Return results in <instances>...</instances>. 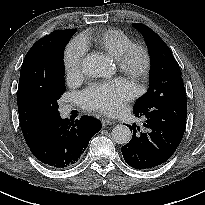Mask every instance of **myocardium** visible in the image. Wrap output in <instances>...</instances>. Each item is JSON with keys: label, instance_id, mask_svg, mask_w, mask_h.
Returning <instances> with one entry per match:
<instances>
[{"label": "myocardium", "instance_id": "1", "mask_svg": "<svg viewBox=\"0 0 205 205\" xmlns=\"http://www.w3.org/2000/svg\"><path fill=\"white\" fill-rule=\"evenodd\" d=\"M119 69L138 82H144L151 70V55L146 46L130 45L117 60Z\"/></svg>", "mask_w": 205, "mask_h": 205}]
</instances>
